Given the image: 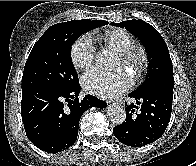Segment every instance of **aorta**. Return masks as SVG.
<instances>
[{
  "instance_id": "aorta-1",
  "label": "aorta",
  "mask_w": 196,
  "mask_h": 166,
  "mask_svg": "<svg viewBox=\"0 0 196 166\" xmlns=\"http://www.w3.org/2000/svg\"><path fill=\"white\" fill-rule=\"evenodd\" d=\"M96 62L99 66L104 68H112L116 64L114 55L104 50L97 55ZM108 117L117 125L122 124L126 119L125 108L118 104H111L107 109Z\"/></svg>"
}]
</instances>
